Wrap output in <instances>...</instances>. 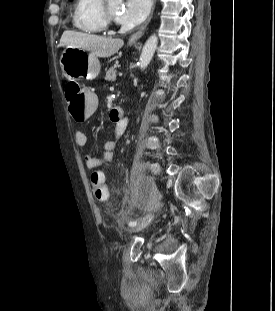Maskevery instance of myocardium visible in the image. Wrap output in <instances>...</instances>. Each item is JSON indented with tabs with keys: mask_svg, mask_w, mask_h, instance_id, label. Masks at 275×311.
I'll return each mask as SVG.
<instances>
[{
	"mask_svg": "<svg viewBox=\"0 0 275 311\" xmlns=\"http://www.w3.org/2000/svg\"><path fill=\"white\" fill-rule=\"evenodd\" d=\"M107 2V0H103V4L101 7V15L106 27L111 26L116 22V18L109 11Z\"/></svg>",
	"mask_w": 275,
	"mask_h": 311,
	"instance_id": "myocardium-1",
	"label": "myocardium"
}]
</instances>
